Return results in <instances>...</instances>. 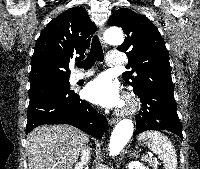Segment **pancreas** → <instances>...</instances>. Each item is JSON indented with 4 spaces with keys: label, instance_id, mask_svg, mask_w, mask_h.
I'll return each mask as SVG.
<instances>
[{
    "label": "pancreas",
    "instance_id": "cf45deb5",
    "mask_svg": "<svg viewBox=\"0 0 200 169\" xmlns=\"http://www.w3.org/2000/svg\"><path fill=\"white\" fill-rule=\"evenodd\" d=\"M145 162H147L149 164V166H151L153 169H157L158 168V162L156 160L145 159Z\"/></svg>",
    "mask_w": 200,
    "mask_h": 169
}]
</instances>
